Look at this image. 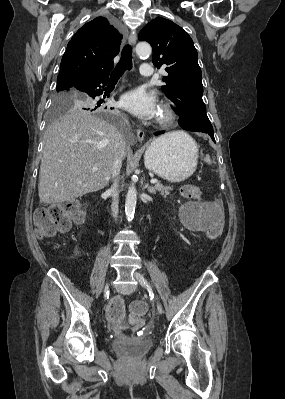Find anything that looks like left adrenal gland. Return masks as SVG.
I'll list each match as a JSON object with an SVG mask.
<instances>
[{"label":"left adrenal gland","mask_w":285,"mask_h":399,"mask_svg":"<svg viewBox=\"0 0 285 399\" xmlns=\"http://www.w3.org/2000/svg\"><path fill=\"white\" fill-rule=\"evenodd\" d=\"M146 189L148 190V192L150 194H154L155 193V189L154 187L149 186L148 184L145 185Z\"/></svg>","instance_id":"obj_1"}]
</instances>
